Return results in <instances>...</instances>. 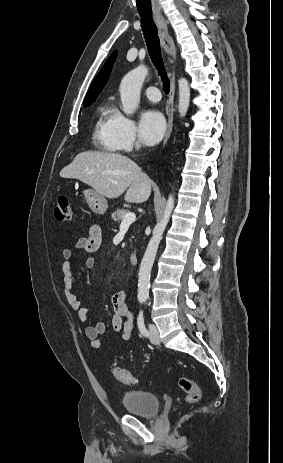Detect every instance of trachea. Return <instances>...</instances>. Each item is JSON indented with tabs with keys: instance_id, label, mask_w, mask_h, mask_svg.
Wrapping results in <instances>:
<instances>
[{
	"instance_id": "3493384b",
	"label": "trachea",
	"mask_w": 283,
	"mask_h": 463,
	"mask_svg": "<svg viewBox=\"0 0 283 463\" xmlns=\"http://www.w3.org/2000/svg\"><path fill=\"white\" fill-rule=\"evenodd\" d=\"M141 16V27L143 31V35L145 38V42L148 48V52L150 54L151 60L155 67L158 70L159 75L163 81V90L166 94L170 91V82L166 75V70L163 64L161 49H160V40L158 37V30L153 21L151 15H143Z\"/></svg>"
}]
</instances>
